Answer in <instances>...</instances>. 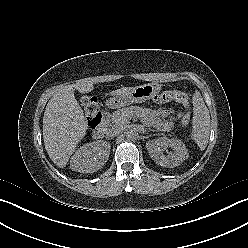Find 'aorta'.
I'll use <instances>...</instances> for the list:
<instances>
[{
  "instance_id": "aorta-1",
  "label": "aorta",
  "mask_w": 248,
  "mask_h": 248,
  "mask_svg": "<svg viewBox=\"0 0 248 248\" xmlns=\"http://www.w3.org/2000/svg\"><path fill=\"white\" fill-rule=\"evenodd\" d=\"M126 137L128 140H136L139 137V134L135 129H129L126 132Z\"/></svg>"
}]
</instances>
